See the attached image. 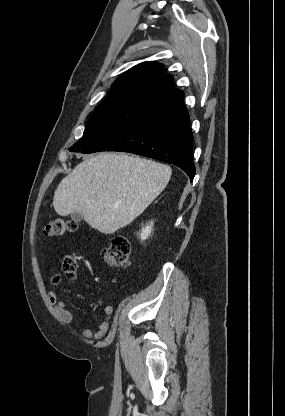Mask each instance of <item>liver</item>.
<instances>
[{
  "label": "liver",
  "instance_id": "liver-1",
  "mask_svg": "<svg viewBox=\"0 0 285 416\" xmlns=\"http://www.w3.org/2000/svg\"><path fill=\"white\" fill-rule=\"evenodd\" d=\"M171 168L127 154H98L84 160L54 192L58 216L78 212L101 234L131 224L163 192Z\"/></svg>",
  "mask_w": 285,
  "mask_h": 416
}]
</instances>
